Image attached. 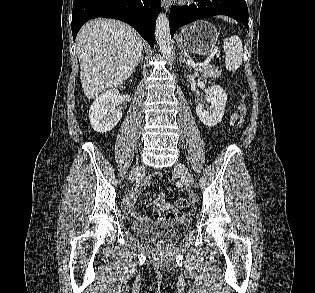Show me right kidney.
Returning a JSON list of instances; mask_svg holds the SVG:
<instances>
[{"label": "right kidney", "mask_w": 315, "mask_h": 293, "mask_svg": "<svg viewBox=\"0 0 315 293\" xmlns=\"http://www.w3.org/2000/svg\"><path fill=\"white\" fill-rule=\"evenodd\" d=\"M119 91L110 89L99 95L92 103L89 118L92 128L99 133L111 131L120 121L122 111L116 109Z\"/></svg>", "instance_id": "1"}]
</instances>
